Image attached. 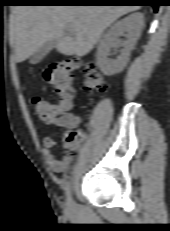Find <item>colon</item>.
I'll return each mask as SVG.
<instances>
[{"label": "colon", "instance_id": "5ec220e1", "mask_svg": "<svg viewBox=\"0 0 170 231\" xmlns=\"http://www.w3.org/2000/svg\"><path fill=\"white\" fill-rule=\"evenodd\" d=\"M80 69L83 74L85 91L104 92L107 83L97 67L89 62L78 59H66L50 65L44 73L46 81L51 85L58 98L54 104L41 98H34L33 104L38 117L45 123H50L58 115L70 108L74 95V74ZM84 138V132L78 126L67 128L64 134L67 148L75 147Z\"/></svg>", "mask_w": 170, "mask_h": 231}]
</instances>
